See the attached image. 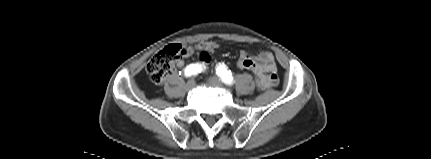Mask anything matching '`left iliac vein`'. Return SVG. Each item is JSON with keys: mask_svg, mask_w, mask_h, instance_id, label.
<instances>
[{"mask_svg": "<svg viewBox=\"0 0 431 159\" xmlns=\"http://www.w3.org/2000/svg\"><path fill=\"white\" fill-rule=\"evenodd\" d=\"M208 82L214 86H223V81H221L218 77L213 76L208 79Z\"/></svg>", "mask_w": 431, "mask_h": 159, "instance_id": "1", "label": "left iliac vein"}]
</instances>
